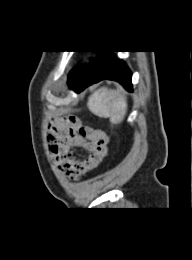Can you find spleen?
Here are the masks:
<instances>
[{"mask_svg":"<svg viewBox=\"0 0 192 260\" xmlns=\"http://www.w3.org/2000/svg\"><path fill=\"white\" fill-rule=\"evenodd\" d=\"M87 106L94 115L109 118L112 124H119L127 113V98L121 88L101 87L88 98Z\"/></svg>","mask_w":192,"mask_h":260,"instance_id":"3e777b00","label":"spleen"}]
</instances>
